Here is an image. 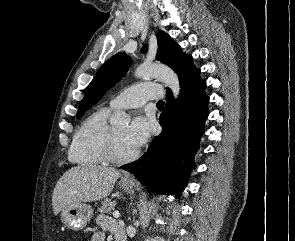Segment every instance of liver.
<instances>
[{
  "label": "liver",
  "instance_id": "6515ba94",
  "mask_svg": "<svg viewBox=\"0 0 295 241\" xmlns=\"http://www.w3.org/2000/svg\"><path fill=\"white\" fill-rule=\"evenodd\" d=\"M120 172L111 167L93 164L75 166L58 180L52 195V207L57 215L67 205L92 202L107 197Z\"/></svg>",
  "mask_w": 295,
  "mask_h": 241
}]
</instances>
